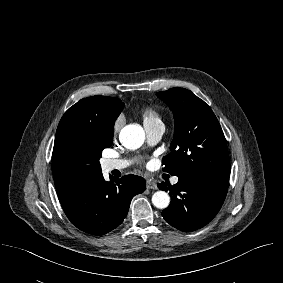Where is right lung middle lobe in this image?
<instances>
[{"instance_id":"obj_1","label":"right lung middle lobe","mask_w":283,"mask_h":283,"mask_svg":"<svg viewBox=\"0 0 283 283\" xmlns=\"http://www.w3.org/2000/svg\"><path fill=\"white\" fill-rule=\"evenodd\" d=\"M113 135H104L92 128L75 125L69 134L67 157L73 172L92 174L101 171L99 159L104 148L112 144Z\"/></svg>"}]
</instances>
